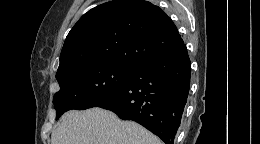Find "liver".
Returning <instances> with one entry per match:
<instances>
[{
    "label": "liver",
    "mask_w": 260,
    "mask_h": 144,
    "mask_svg": "<svg viewBox=\"0 0 260 144\" xmlns=\"http://www.w3.org/2000/svg\"><path fill=\"white\" fill-rule=\"evenodd\" d=\"M51 144H162L141 125L121 121L111 111L94 107L65 113L51 135Z\"/></svg>",
    "instance_id": "1"
}]
</instances>
